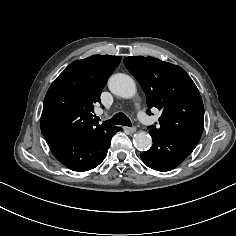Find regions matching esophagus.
Segmentation results:
<instances>
[{
	"mask_svg": "<svg viewBox=\"0 0 236 236\" xmlns=\"http://www.w3.org/2000/svg\"><path fill=\"white\" fill-rule=\"evenodd\" d=\"M127 130L130 132V133H135L137 131L136 127H127Z\"/></svg>",
	"mask_w": 236,
	"mask_h": 236,
	"instance_id": "1",
	"label": "esophagus"
}]
</instances>
